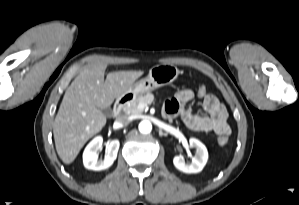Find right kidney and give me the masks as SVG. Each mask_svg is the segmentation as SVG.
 I'll return each instance as SVG.
<instances>
[{
  "label": "right kidney",
  "instance_id": "1",
  "mask_svg": "<svg viewBox=\"0 0 299 205\" xmlns=\"http://www.w3.org/2000/svg\"><path fill=\"white\" fill-rule=\"evenodd\" d=\"M103 138L95 137L85 148L83 152V164L87 169L100 171L109 168L115 161L120 143L118 140H112L106 145V154L104 160H98V150L102 147Z\"/></svg>",
  "mask_w": 299,
  "mask_h": 205
}]
</instances>
